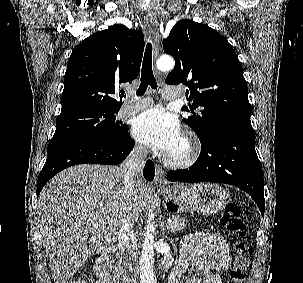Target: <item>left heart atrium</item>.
I'll use <instances>...</instances> for the list:
<instances>
[{"label": "left heart atrium", "mask_w": 303, "mask_h": 283, "mask_svg": "<svg viewBox=\"0 0 303 283\" xmlns=\"http://www.w3.org/2000/svg\"><path fill=\"white\" fill-rule=\"evenodd\" d=\"M133 135L145 145L168 154L182 139L177 118L161 106L150 108L136 118Z\"/></svg>", "instance_id": "39dd6f15"}]
</instances>
